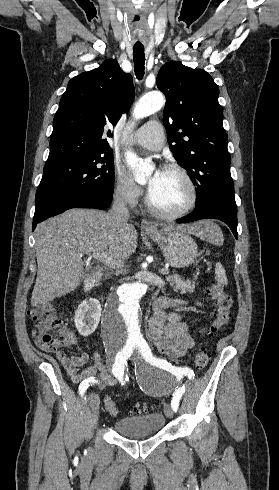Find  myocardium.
I'll return each mask as SVG.
<instances>
[{"instance_id": "myocardium-1", "label": "myocardium", "mask_w": 279, "mask_h": 490, "mask_svg": "<svg viewBox=\"0 0 279 490\" xmlns=\"http://www.w3.org/2000/svg\"><path fill=\"white\" fill-rule=\"evenodd\" d=\"M164 170L175 172L183 178V180L185 181L188 187L189 198L178 210L175 211H167L159 208L154 204L150 196L147 198V206L149 211L153 215L159 218L169 219V220L177 219L186 215L189 211H191L195 207L198 200L197 188L190 174L181 165L176 163L168 164L164 167Z\"/></svg>"}]
</instances>
